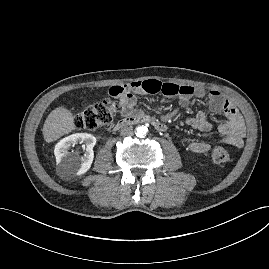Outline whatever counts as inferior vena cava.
I'll return each instance as SVG.
<instances>
[{
	"label": "inferior vena cava",
	"mask_w": 269,
	"mask_h": 269,
	"mask_svg": "<svg viewBox=\"0 0 269 269\" xmlns=\"http://www.w3.org/2000/svg\"><path fill=\"white\" fill-rule=\"evenodd\" d=\"M120 134L123 136H131V135H133V128L132 127H123L120 130Z\"/></svg>",
	"instance_id": "1"
}]
</instances>
